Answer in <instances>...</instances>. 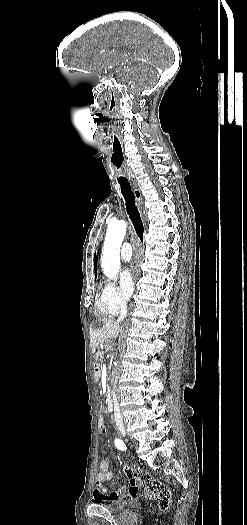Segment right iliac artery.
<instances>
[{
  "instance_id": "right-iliac-artery-1",
  "label": "right iliac artery",
  "mask_w": 247,
  "mask_h": 525,
  "mask_svg": "<svg viewBox=\"0 0 247 525\" xmlns=\"http://www.w3.org/2000/svg\"><path fill=\"white\" fill-rule=\"evenodd\" d=\"M115 446L119 449V450H126V445L125 443L121 440V439H115Z\"/></svg>"
}]
</instances>
